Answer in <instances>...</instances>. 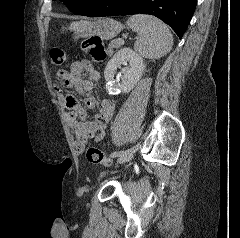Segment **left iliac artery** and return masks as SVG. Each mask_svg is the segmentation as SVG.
I'll return each mask as SVG.
<instances>
[{
  "label": "left iliac artery",
  "instance_id": "1",
  "mask_svg": "<svg viewBox=\"0 0 240 238\" xmlns=\"http://www.w3.org/2000/svg\"><path fill=\"white\" fill-rule=\"evenodd\" d=\"M137 136H138V133L137 132H134L133 133V136H132V139H131V146L130 147H127L126 150H124V152H114L111 154V157H120L122 156L123 154L124 155H129V153L132 152V150H134L136 148V145H138V139H137Z\"/></svg>",
  "mask_w": 240,
  "mask_h": 238
}]
</instances>
